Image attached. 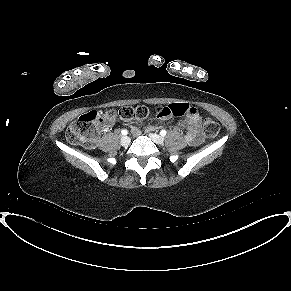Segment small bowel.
<instances>
[{"mask_svg": "<svg viewBox=\"0 0 291 291\" xmlns=\"http://www.w3.org/2000/svg\"><path fill=\"white\" fill-rule=\"evenodd\" d=\"M192 107V106H191ZM165 119V118H161ZM201 118L197 113L196 109L192 107V111L186 114V117L180 121V125L186 129L185 140L191 146H198L203 141V135L200 129ZM156 126H148L147 131L156 130ZM132 133L136 136L141 134V131L138 127L132 126Z\"/></svg>", "mask_w": 291, "mask_h": 291, "instance_id": "1", "label": "small bowel"}]
</instances>
